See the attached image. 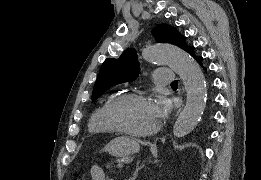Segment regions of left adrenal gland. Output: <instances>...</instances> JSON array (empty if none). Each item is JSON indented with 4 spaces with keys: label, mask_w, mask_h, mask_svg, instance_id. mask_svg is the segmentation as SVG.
Wrapping results in <instances>:
<instances>
[{
    "label": "left adrenal gland",
    "mask_w": 261,
    "mask_h": 180,
    "mask_svg": "<svg viewBox=\"0 0 261 180\" xmlns=\"http://www.w3.org/2000/svg\"><path fill=\"white\" fill-rule=\"evenodd\" d=\"M140 162H141V160H137L136 170H135L134 174H132V178H130V180H136L139 170H141V168H143V166H140Z\"/></svg>",
    "instance_id": "left-adrenal-gland-1"
}]
</instances>
